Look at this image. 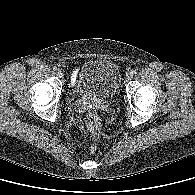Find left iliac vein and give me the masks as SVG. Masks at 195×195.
<instances>
[{"label":"left iliac vein","instance_id":"1","mask_svg":"<svg viewBox=\"0 0 195 195\" xmlns=\"http://www.w3.org/2000/svg\"><path fill=\"white\" fill-rule=\"evenodd\" d=\"M132 77H133V74L132 73H128L127 75H126V80H131L132 79Z\"/></svg>","mask_w":195,"mask_h":195}]
</instances>
